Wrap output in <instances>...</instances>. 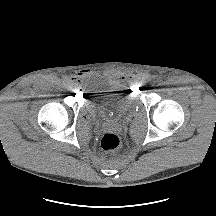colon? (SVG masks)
I'll use <instances>...</instances> for the list:
<instances>
[{
    "instance_id": "obj_1",
    "label": "colon",
    "mask_w": 216,
    "mask_h": 216,
    "mask_svg": "<svg viewBox=\"0 0 216 216\" xmlns=\"http://www.w3.org/2000/svg\"><path fill=\"white\" fill-rule=\"evenodd\" d=\"M121 140L118 135L114 133H107L101 139V147L105 151H113L120 147Z\"/></svg>"
}]
</instances>
